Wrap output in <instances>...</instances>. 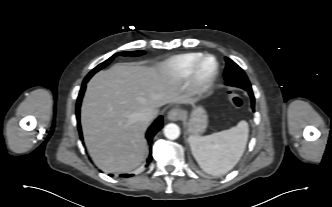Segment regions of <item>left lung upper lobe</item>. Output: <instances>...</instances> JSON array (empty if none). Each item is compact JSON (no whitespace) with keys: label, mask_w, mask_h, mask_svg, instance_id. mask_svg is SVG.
Returning <instances> with one entry per match:
<instances>
[{"label":"left lung upper lobe","mask_w":332,"mask_h":207,"mask_svg":"<svg viewBox=\"0 0 332 207\" xmlns=\"http://www.w3.org/2000/svg\"><path fill=\"white\" fill-rule=\"evenodd\" d=\"M226 68L224 71L225 84L247 90L251 88L250 81L243 69L229 58H225Z\"/></svg>","instance_id":"5c2ea615"}]
</instances>
